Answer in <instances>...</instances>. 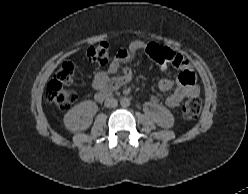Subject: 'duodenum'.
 <instances>
[{
	"mask_svg": "<svg viewBox=\"0 0 248 194\" xmlns=\"http://www.w3.org/2000/svg\"><path fill=\"white\" fill-rule=\"evenodd\" d=\"M113 95L109 92H98L95 96L96 100L99 102L105 101L107 99L112 98Z\"/></svg>",
	"mask_w": 248,
	"mask_h": 194,
	"instance_id": "duodenum-1",
	"label": "duodenum"
}]
</instances>
